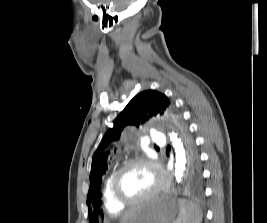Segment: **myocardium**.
Masks as SVG:
<instances>
[{
    "label": "myocardium",
    "mask_w": 267,
    "mask_h": 223,
    "mask_svg": "<svg viewBox=\"0 0 267 223\" xmlns=\"http://www.w3.org/2000/svg\"><path fill=\"white\" fill-rule=\"evenodd\" d=\"M147 165L150 168L153 169L154 173L156 174L157 177V183L155 185V187L146 195L142 196L139 199H135V200H127L125 198H123L119 191H118V181L119 178L121 177V175L131 166L134 165ZM165 186V174L162 170V168L160 167V165L152 158L150 157H146V156H141V157H135L133 159L128 160L127 162H125L113 175L111 182H110V188H111V193L113 198L115 199V201L122 205V206H126V207H132V206H136L142 203H145L149 200H151L152 198H154L155 196H157L164 188Z\"/></svg>",
    "instance_id": "f54148a6"
}]
</instances>
